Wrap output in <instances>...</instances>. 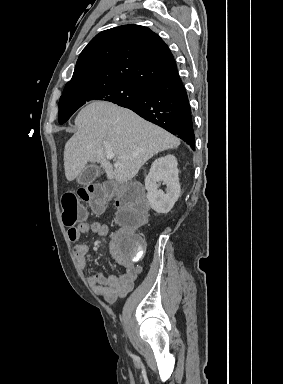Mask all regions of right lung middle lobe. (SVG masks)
<instances>
[{
  "label": "right lung middle lobe",
  "instance_id": "dd1d6c3e",
  "mask_svg": "<svg viewBox=\"0 0 283 384\" xmlns=\"http://www.w3.org/2000/svg\"><path fill=\"white\" fill-rule=\"evenodd\" d=\"M146 90L135 84L120 81L65 88L59 100V123H65L88 101L105 100L121 104L141 98Z\"/></svg>",
  "mask_w": 283,
  "mask_h": 384
}]
</instances>
